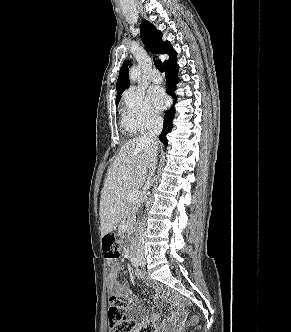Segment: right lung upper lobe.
<instances>
[{
    "label": "right lung upper lobe",
    "mask_w": 291,
    "mask_h": 332,
    "mask_svg": "<svg viewBox=\"0 0 291 332\" xmlns=\"http://www.w3.org/2000/svg\"><path fill=\"white\" fill-rule=\"evenodd\" d=\"M141 32L140 36L143 43L152 49L156 54H168L169 59L166 60L163 65H166L176 59V52L173 50L172 46L168 41L162 40V33L155 28L153 24L147 20L143 21L140 25ZM130 62L126 61L120 68L119 76L116 84L117 96L116 102L120 100L122 92L129 86V75H128V64Z\"/></svg>",
    "instance_id": "obj_1"
}]
</instances>
